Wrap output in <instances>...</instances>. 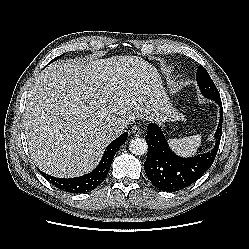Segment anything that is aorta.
I'll return each mask as SVG.
<instances>
[{"label": "aorta", "instance_id": "aorta-1", "mask_svg": "<svg viewBox=\"0 0 249 249\" xmlns=\"http://www.w3.org/2000/svg\"><path fill=\"white\" fill-rule=\"evenodd\" d=\"M130 151L135 155H144L147 152L148 145L143 138H134L129 144Z\"/></svg>", "mask_w": 249, "mask_h": 249}]
</instances>
